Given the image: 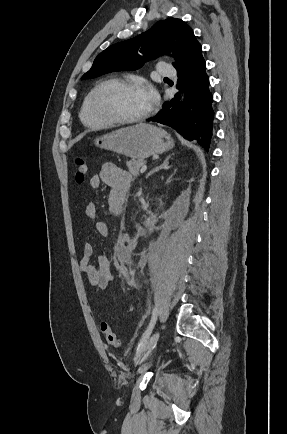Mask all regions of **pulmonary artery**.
<instances>
[{"mask_svg": "<svg viewBox=\"0 0 287 434\" xmlns=\"http://www.w3.org/2000/svg\"><path fill=\"white\" fill-rule=\"evenodd\" d=\"M157 72L161 76L173 77L176 75V70L173 66L167 64H159Z\"/></svg>", "mask_w": 287, "mask_h": 434, "instance_id": "obj_1", "label": "pulmonary artery"}]
</instances>
